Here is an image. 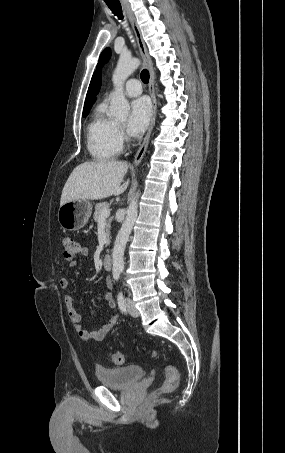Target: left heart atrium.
Listing matches in <instances>:
<instances>
[{"label":"left heart atrium","instance_id":"39dd6f15","mask_svg":"<svg viewBox=\"0 0 285 453\" xmlns=\"http://www.w3.org/2000/svg\"><path fill=\"white\" fill-rule=\"evenodd\" d=\"M151 116V106L147 98L140 97L131 102L128 119V130L134 135H140L146 129Z\"/></svg>","mask_w":285,"mask_h":453}]
</instances>
